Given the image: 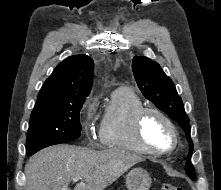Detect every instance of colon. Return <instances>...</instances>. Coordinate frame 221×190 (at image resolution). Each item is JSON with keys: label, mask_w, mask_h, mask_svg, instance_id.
Masks as SVG:
<instances>
[{"label": "colon", "mask_w": 221, "mask_h": 190, "mask_svg": "<svg viewBox=\"0 0 221 190\" xmlns=\"http://www.w3.org/2000/svg\"><path fill=\"white\" fill-rule=\"evenodd\" d=\"M160 190H183L182 188H180L179 186L176 185H172V184H163L161 186Z\"/></svg>", "instance_id": "5ec220e1"}]
</instances>
